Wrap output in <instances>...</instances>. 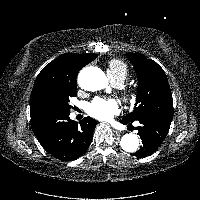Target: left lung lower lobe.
<instances>
[{
  "instance_id": "0a47b994",
  "label": "left lung lower lobe",
  "mask_w": 200,
  "mask_h": 200,
  "mask_svg": "<svg viewBox=\"0 0 200 200\" xmlns=\"http://www.w3.org/2000/svg\"><path fill=\"white\" fill-rule=\"evenodd\" d=\"M138 121L141 126L136 127V129L139 131L143 145L137 152L133 153V155L144 158L155 152V150H157L161 145L168 134L171 122L158 120L151 116ZM121 122L128 125L132 124V122L125 119H122Z\"/></svg>"
}]
</instances>
